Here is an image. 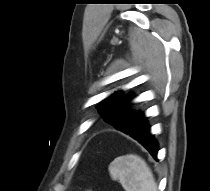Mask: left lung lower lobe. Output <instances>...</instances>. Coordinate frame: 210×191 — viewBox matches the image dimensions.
<instances>
[{"mask_svg": "<svg viewBox=\"0 0 210 191\" xmlns=\"http://www.w3.org/2000/svg\"><path fill=\"white\" fill-rule=\"evenodd\" d=\"M135 117H138L142 124L135 130L131 131L128 135L141 143L150 152L153 158L157 160L158 143L149 132L150 128L147 125V122L145 120L146 118L144 117L142 112L137 111L135 113Z\"/></svg>", "mask_w": 210, "mask_h": 191, "instance_id": "obj_1", "label": "left lung lower lobe"}]
</instances>
